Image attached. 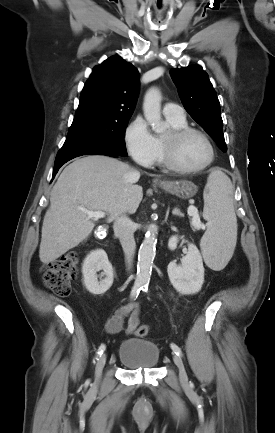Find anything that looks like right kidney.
<instances>
[{"label":"right kidney","mask_w":275,"mask_h":433,"mask_svg":"<svg viewBox=\"0 0 275 433\" xmlns=\"http://www.w3.org/2000/svg\"><path fill=\"white\" fill-rule=\"evenodd\" d=\"M100 270H103L101 277L105 278L98 281L97 272ZM82 274L86 289L94 295L104 294L113 284V268L102 249L94 250L87 255L82 265Z\"/></svg>","instance_id":"right-kidney-1"}]
</instances>
